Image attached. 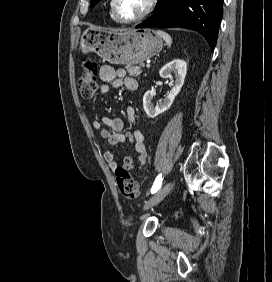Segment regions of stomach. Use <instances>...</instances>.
<instances>
[{
  "mask_svg": "<svg viewBox=\"0 0 272 282\" xmlns=\"http://www.w3.org/2000/svg\"><path fill=\"white\" fill-rule=\"evenodd\" d=\"M162 47V38L150 29H87L79 43L82 54L94 52L111 64L127 65L151 58Z\"/></svg>",
  "mask_w": 272,
  "mask_h": 282,
  "instance_id": "0dacf381",
  "label": "stomach"
}]
</instances>
